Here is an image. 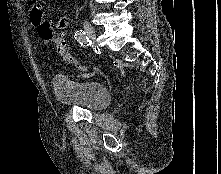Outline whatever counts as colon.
Segmentation results:
<instances>
[{
    "instance_id": "5ec220e1",
    "label": "colon",
    "mask_w": 221,
    "mask_h": 174,
    "mask_svg": "<svg viewBox=\"0 0 221 174\" xmlns=\"http://www.w3.org/2000/svg\"><path fill=\"white\" fill-rule=\"evenodd\" d=\"M40 36L48 41L53 42L55 44L56 52L67 60L69 63L73 64L79 70H86L87 67L83 65L78 59H76L69 51L66 42L62 38L60 31L51 25L49 22L44 21L39 27Z\"/></svg>"
}]
</instances>
